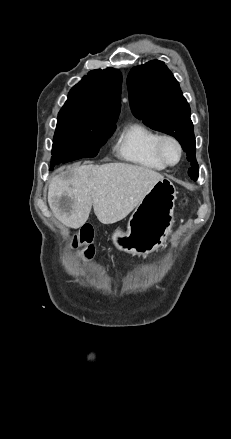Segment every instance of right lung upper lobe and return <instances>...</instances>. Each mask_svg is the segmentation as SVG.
<instances>
[{
    "label": "right lung upper lobe",
    "mask_w": 231,
    "mask_h": 439,
    "mask_svg": "<svg viewBox=\"0 0 231 439\" xmlns=\"http://www.w3.org/2000/svg\"><path fill=\"white\" fill-rule=\"evenodd\" d=\"M122 75L107 68L92 70L74 86L58 118L84 117L115 124L120 113Z\"/></svg>",
    "instance_id": "1"
}]
</instances>
